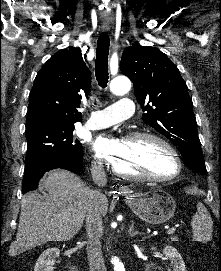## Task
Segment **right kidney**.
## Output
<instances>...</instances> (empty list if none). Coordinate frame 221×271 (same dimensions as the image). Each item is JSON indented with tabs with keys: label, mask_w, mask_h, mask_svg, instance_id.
Instances as JSON below:
<instances>
[{
	"label": "right kidney",
	"mask_w": 221,
	"mask_h": 271,
	"mask_svg": "<svg viewBox=\"0 0 221 271\" xmlns=\"http://www.w3.org/2000/svg\"><path fill=\"white\" fill-rule=\"evenodd\" d=\"M59 255V247L44 249L34 265V271H53L56 261L55 257H59Z\"/></svg>",
	"instance_id": "obj_1"
}]
</instances>
